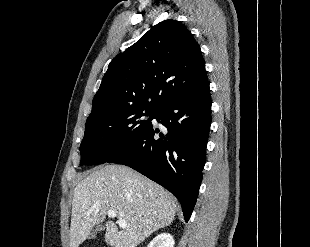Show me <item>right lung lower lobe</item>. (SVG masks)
I'll use <instances>...</instances> for the list:
<instances>
[{
  "instance_id": "98d812e1",
  "label": "right lung lower lobe",
  "mask_w": 310,
  "mask_h": 247,
  "mask_svg": "<svg viewBox=\"0 0 310 247\" xmlns=\"http://www.w3.org/2000/svg\"><path fill=\"white\" fill-rule=\"evenodd\" d=\"M136 142L108 162L129 166L162 185L180 201L188 222L202 180L211 124L209 81L166 101ZM152 118V119H153Z\"/></svg>"
}]
</instances>
